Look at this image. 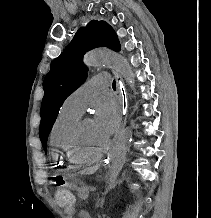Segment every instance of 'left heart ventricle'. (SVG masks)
<instances>
[{"instance_id":"1","label":"left heart ventricle","mask_w":211,"mask_h":218,"mask_svg":"<svg viewBox=\"0 0 211 218\" xmlns=\"http://www.w3.org/2000/svg\"><path fill=\"white\" fill-rule=\"evenodd\" d=\"M110 139L100 133L95 127L94 120L88 119L84 122L81 130L82 146L93 151L104 148Z\"/></svg>"}]
</instances>
